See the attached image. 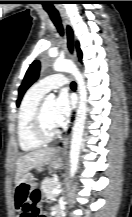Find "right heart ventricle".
Masks as SVG:
<instances>
[{
    "mask_svg": "<svg viewBox=\"0 0 132 217\" xmlns=\"http://www.w3.org/2000/svg\"><path fill=\"white\" fill-rule=\"evenodd\" d=\"M45 93L34 85L25 93L21 101L18 112L17 135L20 148L25 152L37 150L44 144L33 132V117Z\"/></svg>",
    "mask_w": 132,
    "mask_h": 217,
    "instance_id": "right-heart-ventricle-1",
    "label": "right heart ventricle"
}]
</instances>
